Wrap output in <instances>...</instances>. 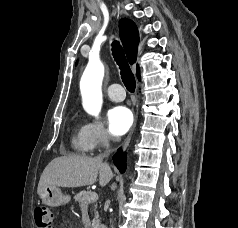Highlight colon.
Wrapping results in <instances>:
<instances>
[{
    "label": "colon",
    "mask_w": 238,
    "mask_h": 228,
    "mask_svg": "<svg viewBox=\"0 0 238 228\" xmlns=\"http://www.w3.org/2000/svg\"><path fill=\"white\" fill-rule=\"evenodd\" d=\"M34 218L37 228H52L54 215L49 207H36L34 211Z\"/></svg>",
    "instance_id": "1"
}]
</instances>
